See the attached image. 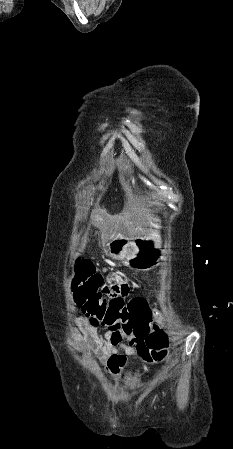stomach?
<instances>
[{"instance_id": "1", "label": "stomach", "mask_w": 233, "mask_h": 449, "mask_svg": "<svg viewBox=\"0 0 233 449\" xmlns=\"http://www.w3.org/2000/svg\"><path fill=\"white\" fill-rule=\"evenodd\" d=\"M135 217L132 212H116L115 214L116 221H132ZM100 219L111 221L113 214L102 212ZM159 228V224L156 223L151 233L140 239H111L105 244L106 252L109 256L124 261L136 271H149L164 257Z\"/></svg>"}]
</instances>
